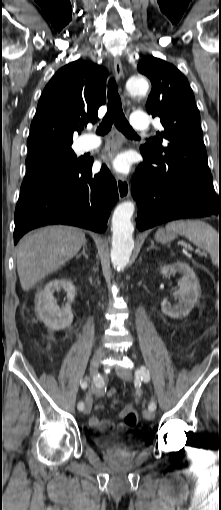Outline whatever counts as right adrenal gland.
Returning a JSON list of instances; mask_svg holds the SVG:
<instances>
[{
  "label": "right adrenal gland",
  "instance_id": "2a0ac1e0",
  "mask_svg": "<svg viewBox=\"0 0 221 510\" xmlns=\"http://www.w3.org/2000/svg\"><path fill=\"white\" fill-rule=\"evenodd\" d=\"M85 247H86V243H84V245H83V249H82V252H81V253H79V254L76 256V258H79V257H81V255H83L86 259H88V255L85 253Z\"/></svg>",
  "mask_w": 221,
  "mask_h": 510
}]
</instances>
